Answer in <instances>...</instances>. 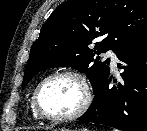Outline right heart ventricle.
<instances>
[{"label":"right heart ventricle","mask_w":147,"mask_h":131,"mask_svg":"<svg viewBox=\"0 0 147 131\" xmlns=\"http://www.w3.org/2000/svg\"><path fill=\"white\" fill-rule=\"evenodd\" d=\"M30 107H31V112H32V116L37 120L40 119V117L38 116V114L36 113V111L34 110L33 104H32V98L30 101Z\"/></svg>","instance_id":"right-heart-ventricle-1"}]
</instances>
